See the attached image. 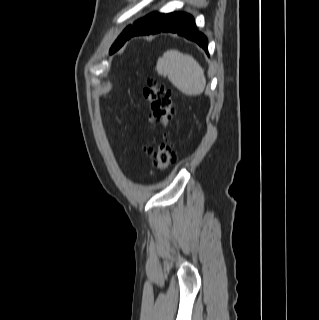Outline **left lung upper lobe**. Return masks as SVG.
Masks as SVG:
<instances>
[{
	"label": "left lung upper lobe",
	"instance_id": "5c2ea615",
	"mask_svg": "<svg viewBox=\"0 0 319 320\" xmlns=\"http://www.w3.org/2000/svg\"><path fill=\"white\" fill-rule=\"evenodd\" d=\"M136 23V22H135ZM134 23V24H135ZM133 26H128L123 32L122 34L117 38V40L115 41V43L112 45L111 49H110V54L114 53L115 51H117L124 43L125 37L126 35L129 33V31L132 29Z\"/></svg>",
	"mask_w": 319,
	"mask_h": 320
}]
</instances>
